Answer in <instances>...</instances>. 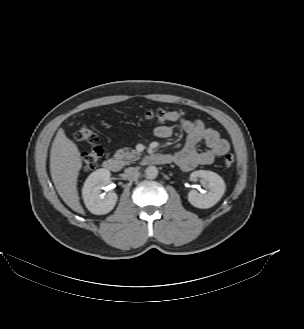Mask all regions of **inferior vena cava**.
Returning a JSON list of instances; mask_svg holds the SVG:
<instances>
[{
	"label": "inferior vena cava",
	"mask_w": 304,
	"mask_h": 329,
	"mask_svg": "<svg viewBox=\"0 0 304 329\" xmlns=\"http://www.w3.org/2000/svg\"><path fill=\"white\" fill-rule=\"evenodd\" d=\"M125 176L130 181H135L139 177L138 169L135 167H128L125 169Z\"/></svg>",
	"instance_id": "inferior-vena-cava-1"
}]
</instances>
